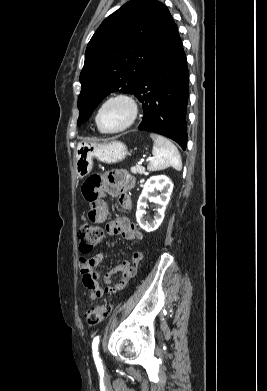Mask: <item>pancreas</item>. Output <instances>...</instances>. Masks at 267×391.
Here are the masks:
<instances>
[{
	"mask_svg": "<svg viewBox=\"0 0 267 391\" xmlns=\"http://www.w3.org/2000/svg\"><path fill=\"white\" fill-rule=\"evenodd\" d=\"M131 172L133 173V174H143V173H145V168L143 167V166H140V165H138V166H133L132 168H131Z\"/></svg>",
	"mask_w": 267,
	"mask_h": 391,
	"instance_id": "obj_1",
	"label": "pancreas"
}]
</instances>
